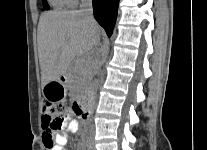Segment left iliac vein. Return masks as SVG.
Listing matches in <instances>:
<instances>
[{
  "label": "left iliac vein",
  "mask_w": 207,
  "mask_h": 150,
  "mask_svg": "<svg viewBox=\"0 0 207 150\" xmlns=\"http://www.w3.org/2000/svg\"><path fill=\"white\" fill-rule=\"evenodd\" d=\"M90 150H95L94 148H93V142L91 141V143H90Z\"/></svg>",
  "instance_id": "left-iliac-vein-1"
}]
</instances>
